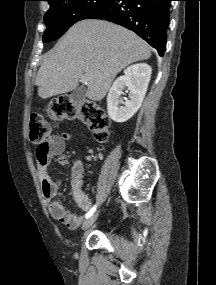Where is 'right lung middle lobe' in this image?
<instances>
[{
  "instance_id": "1",
  "label": "right lung middle lobe",
  "mask_w": 216,
  "mask_h": 285,
  "mask_svg": "<svg viewBox=\"0 0 216 285\" xmlns=\"http://www.w3.org/2000/svg\"><path fill=\"white\" fill-rule=\"evenodd\" d=\"M110 0H50V8L44 16L46 31L43 42L61 37L74 23L85 19L90 13Z\"/></svg>"
}]
</instances>
